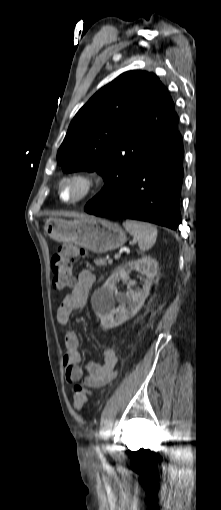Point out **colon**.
I'll use <instances>...</instances> for the list:
<instances>
[{
	"label": "colon",
	"instance_id": "5ec220e1",
	"mask_svg": "<svg viewBox=\"0 0 221 510\" xmlns=\"http://www.w3.org/2000/svg\"><path fill=\"white\" fill-rule=\"evenodd\" d=\"M84 255L85 251L75 245L64 244L60 246L58 252L52 258L54 288L64 290L73 284L74 264ZM73 391L74 406L80 410L87 403L90 392L80 384H75Z\"/></svg>",
	"mask_w": 221,
	"mask_h": 510
}]
</instances>
